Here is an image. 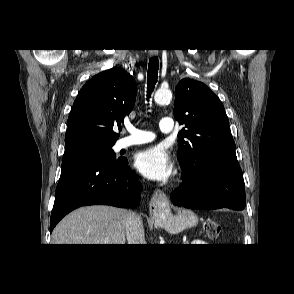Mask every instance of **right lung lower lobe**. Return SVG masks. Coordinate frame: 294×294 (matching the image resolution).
Instances as JSON below:
<instances>
[{"instance_id": "1", "label": "right lung lower lobe", "mask_w": 294, "mask_h": 294, "mask_svg": "<svg viewBox=\"0 0 294 294\" xmlns=\"http://www.w3.org/2000/svg\"><path fill=\"white\" fill-rule=\"evenodd\" d=\"M141 190L142 185L127 159L110 162L100 157H83L63 162L50 232L66 214L81 206H137Z\"/></svg>"}]
</instances>
